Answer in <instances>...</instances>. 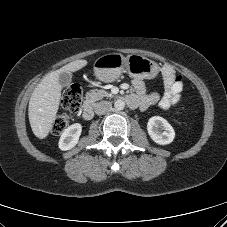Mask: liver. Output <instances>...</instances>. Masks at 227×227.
I'll return each instance as SVG.
<instances>
[{"mask_svg": "<svg viewBox=\"0 0 227 227\" xmlns=\"http://www.w3.org/2000/svg\"><path fill=\"white\" fill-rule=\"evenodd\" d=\"M88 64L87 60H75L45 75L34 89L28 107L30 126L36 137L43 139L49 134L60 104L62 72H76Z\"/></svg>", "mask_w": 227, "mask_h": 227, "instance_id": "1", "label": "liver"}]
</instances>
